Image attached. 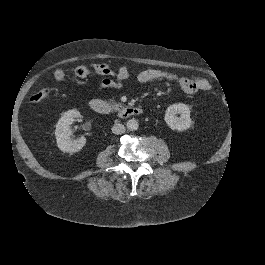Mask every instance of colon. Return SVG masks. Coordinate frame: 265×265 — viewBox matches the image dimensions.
Wrapping results in <instances>:
<instances>
[{
	"mask_svg": "<svg viewBox=\"0 0 265 265\" xmlns=\"http://www.w3.org/2000/svg\"><path fill=\"white\" fill-rule=\"evenodd\" d=\"M74 72L78 77H86L90 74V69L87 66H78L75 68ZM65 76L66 73L63 69H57L54 72V78L56 80H63ZM48 95L49 90L47 88H41L30 96V101L33 103H39L44 101Z\"/></svg>",
	"mask_w": 265,
	"mask_h": 265,
	"instance_id": "5ec220e1",
	"label": "colon"
}]
</instances>
